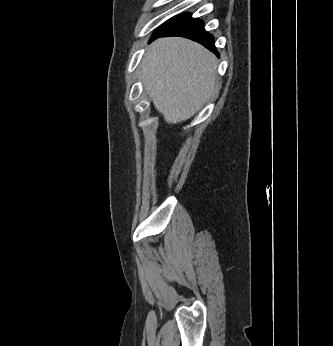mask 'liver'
<instances>
[{"label":"liver","mask_w":333,"mask_h":346,"mask_svg":"<svg viewBox=\"0 0 333 346\" xmlns=\"http://www.w3.org/2000/svg\"><path fill=\"white\" fill-rule=\"evenodd\" d=\"M141 67L145 89L167 123L191 118L214 92L216 57L191 40H156L146 51Z\"/></svg>","instance_id":"obj_1"}]
</instances>
